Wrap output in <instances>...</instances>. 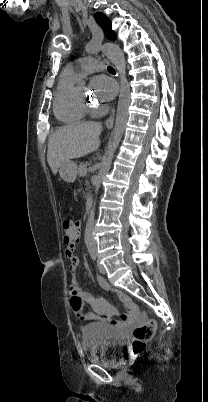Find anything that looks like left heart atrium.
Returning a JSON list of instances; mask_svg holds the SVG:
<instances>
[{
	"instance_id": "left-heart-atrium-1",
	"label": "left heart atrium",
	"mask_w": 208,
	"mask_h": 402,
	"mask_svg": "<svg viewBox=\"0 0 208 402\" xmlns=\"http://www.w3.org/2000/svg\"><path fill=\"white\" fill-rule=\"evenodd\" d=\"M95 82L99 88L101 100L108 101L115 96L116 84L111 78L105 75H99L95 78Z\"/></svg>"
}]
</instances>
